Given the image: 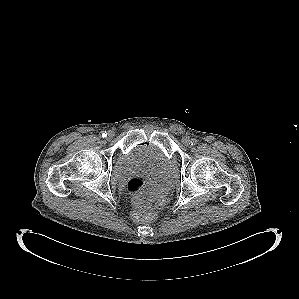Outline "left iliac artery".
Masks as SVG:
<instances>
[{
	"instance_id": "44dca946",
	"label": "left iliac artery",
	"mask_w": 299,
	"mask_h": 299,
	"mask_svg": "<svg viewBox=\"0 0 299 299\" xmlns=\"http://www.w3.org/2000/svg\"><path fill=\"white\" fill-rule=\"evenodd\" d=\"M197 144V140L195 138L191 139V145H196Z\"/></svg>"
}]
</instances>
